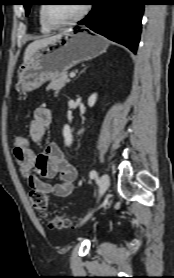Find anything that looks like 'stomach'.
<instances>
[{"label":"stomach","mask_w":174,"mask_h":278,"mask_svg":"<svg viewBox=\"0 0 174 278\" xmlns=\"http://www.w3.org/2000/svg\"><path fill=\"white\" fill-rule=\"evenodd\" d=\"M108 45L104 37L87 30L66 31L24 60L18 69V87L24 93L37 89L78 63L101 55Z\"/></svg>","instance_id":"1"}]
</instances>
